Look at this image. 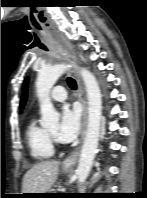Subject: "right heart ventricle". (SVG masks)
<instances>
[{
    "label": "right heart ventricle",
    "instance_id": "obj_1",
    "mask_svg": "<svg viewBox=\"0 0 147 198\" xmlns=\"http://www.w3.org/2000/svg\"><path fill=\"white\" fill-rule=\"evenodd\" d=\"M26 141L30 154L35 160L43 161L53 156L54 148L48 131L40 126L35 119L30 120L27 125Z\"/></svg>",
    "mask_w": 147,
    "mask_h": 198
}]
</instances>
